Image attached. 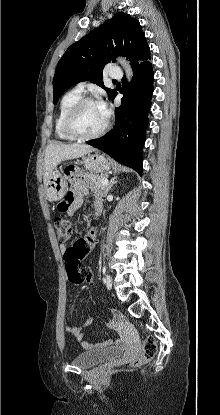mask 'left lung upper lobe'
I'll return each instance as SVG.
<instances>
[{
	"label": "left lung upper lobe",
	"mask_w": 220,
	"mask_h": 415,
	"mask_svg": "<svg viewBox=\"0 0 220 415\" xmlns=\"http://www.w3.org/2000/svg\"><path fill=\"white\" fill-rule=\"evenodd\" d=\"M116 56H126L131 66L150 58V49L140 23L124 12L117 13L100 27L71 45L59 60L53 79V102L80 81L97 83L109 97L115 90L103 84V69Z\"/></svg>",
	"instance_id": "left-lung-upper-lobe-1"
}]
</instances>
